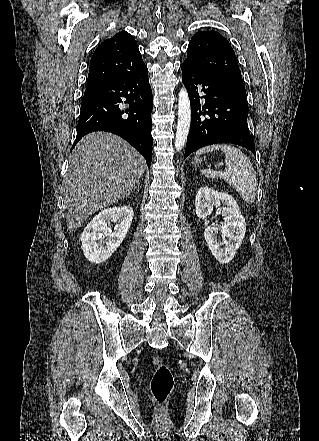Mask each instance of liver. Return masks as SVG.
Returning a JSON list of instances; mask_svg holds the SVG:
<instances>
[{
    "mask_svg": "<svg viewBox=\"0 0 319 441\" xmlns=\"http://www.w3.org/2000/svg\"><path fill=\"white\" fill-rule=\"evenodd\" d=\"M144 158L111 133L84 136L69 157L64 179V208L70 232L93 213L126 198L146 169Z\"/></svg>",
    "mask_w": 319,
    "mask_h": 441,
    "instance_id": "liver-1",
    "label": "liver"
}]
</instances>
